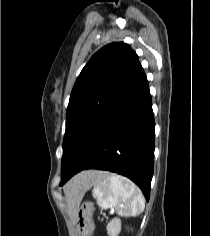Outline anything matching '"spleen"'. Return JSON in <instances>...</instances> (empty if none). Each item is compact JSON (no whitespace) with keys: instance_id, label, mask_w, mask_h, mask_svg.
Returning a JSON list of instances; mask_svg holds the SVG:
<instances>
[{"instance_id":"obj_1","label":"spleen","mask_w":210,"mask_h":236,"mask_svg":"<svg viewBox=\"0 0 210 236\" xmlns=\"http://www.w3.org/2000/svg\"><path fill=\"white\" fill-rule=\"evenodd\" d=\"M93 197L103 209L115 208L120 216L139 215L145 207L144 198L138 187L129 179L104 173L92 184Z\"/></svg>"}]
</instances>
